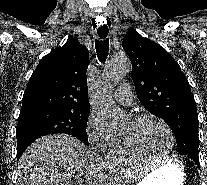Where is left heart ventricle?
I'll return each mask as SVG.
<instances>
[{"label": "left heart ventricle", "instance_id": "b2bd125f", "mask_svg": "<svg viewBox=\"0 0 207 185\" xmlns=\"http://www.w3.org/2000/svg\"><path fill=\"white\" fill-rule=\"evenodd\" d=\"M123 133L131 136L140 148L152 155H163L170 145L165 128L155 120L141 123L130 120Z\"/></svg>", "mask_w": 207, "mask_h": 185}]
</instances>
